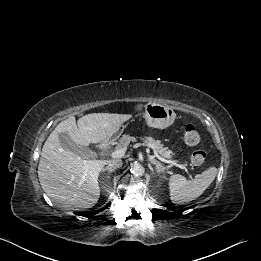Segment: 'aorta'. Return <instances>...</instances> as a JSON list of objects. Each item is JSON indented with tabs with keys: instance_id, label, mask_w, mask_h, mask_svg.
<instances>
[{
	"instance_id": "obj_1",
	"label": "aorta",
	"mask_w": 261,
	"mask_h": 261,
	"mask_svg": "<svg viewBox=\"0 0 261 261\" xmlns=\"http://www.w3.org/2000/svg\"><path fill=\"white\" fill-rule=\"evenodd\" d=\"M131 172L136 175H142L144 173V168L138 162H134L131 164L130 168Z\"/></svg>"
}]
</instances>
